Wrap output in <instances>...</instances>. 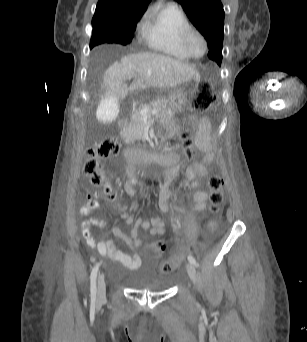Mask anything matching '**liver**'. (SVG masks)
I'll use <instances>...</instances> for the list:
<instances>
[{
  "mask_svg": "<svg viewBox=\"0 0 307 342\" xmlns=\"http://www.w3.org/2000/svg\"><path fill=\"white\" fill-rule=\"evenodd\" d=\"M133 80L128 86L127 80ZM198 74L193 66L183 60H175L162 54L140 52L118 56L103 76L106 95H122L125 100L128 92L148 90V88H176L187 80H197Z\"/></svg>",
  "mask_w": 307,
  "mask_h": 342,
  "instance_id": "6515ba94",
  "label": "liver"
}]
</instances>
